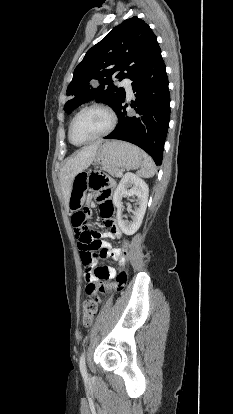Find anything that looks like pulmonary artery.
Here are the masks:
<instances>
[{
    "label": "pulmonary artery",
    "instance_id": "e3ab8cb5",
    "mask_svg": "<svg viewBox=\"0 0 233 414\" xmlns=\"http://www.w3.org/2000/svg\"><path fill=\"white\" fill-rule=\"evenodd\" d=\"M121 84H122V86L125 88V90H126L127 94H128L129 96H131V95L133 94V91H132V86H131V81H130L129 79L125 78V79H123V80L121 81Z\"/></svg>",
    "mask_w": 233,
    "mask_h": 414
}]
</instances>
